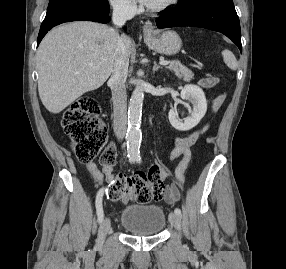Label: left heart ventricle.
<instances>
[{
    "instance_id": "b2bd125f",
    "label": "left heart ventricle",
    "mask_w": 286,
    "mask_h": 269,
    "mask_svg": "<svg viewBox=\"0 0 286 269\" xmlns=\"http://www.w3.org/2000/svg\"><path fill=\"white\" fill-rule=\"evenodd\" d=\"M165 0H152L149 4V6H154V5H158L160 3H162Z\"/></svg>"
}]
</instances>
